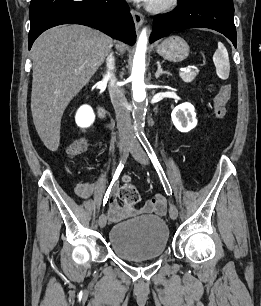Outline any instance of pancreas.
I'll return each mask as SVG.
<instances>
[{
    "label": "pancreas",
    "instance_id": "1",
    "mask_svg": "<svg viewBox=\"0 0 261 306\" xmlns=\"http://www.w3.org/2000/svg\"><path fill=\"white\" fill-rule=\"evenodd\" d=\"M197 72L196 71H190L187 73L181 72L180 77L181 79L186 83H191L196 78Z\"/></svg>",
    "mask_w": 261,
    "mask_h": 306
}]
</instances>
